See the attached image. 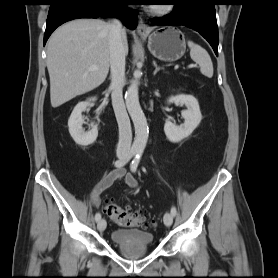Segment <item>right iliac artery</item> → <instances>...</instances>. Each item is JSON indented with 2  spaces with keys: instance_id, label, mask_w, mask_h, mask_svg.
Wrapping results in <instances>:
<instances>
[{
  "instance_id": "82829eb1",
  "label": "right iliac artery",
  "mask_w": 278,
  "mask_h": 278,
  "mask_svg": "<svg viewBox=\"0 0 278 278\" xmlns=\"http://www.w3.org/2000/svg\"><path fill=\"white\" fill-rule=\"evenodd\" d=\"M136 153H137V150H136V149H131V151H130L129 156H128L127 159H119V160H117V161L114 163V165H115L116 167H123V166L127 163V161H128L130 158H132ZM100 219H101V214L98 212V213H96V215H95V220H96V221H99Z\"/></svg>"
}]
</instances>
